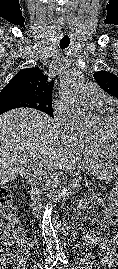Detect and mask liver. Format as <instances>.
Masks as SVG:
<instances>
[{
  "label": "liver",
  "mask_w": 118,
  "mask_h": 269,
  "mask_svg": "<svg viewBox=\"0 0 118 269\" xmlns=\"http://www.w3.org/2000/svg\"><path fill=\"white\" fill-rule=\"evenodd\" d=\"M95 163L58 146V129L47 114L20 108L0 116V185L30 171L52 174Z\"/></svg>",
  "instance_id": "6515ba94"
}]
</instances>
